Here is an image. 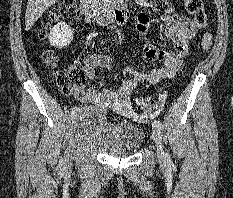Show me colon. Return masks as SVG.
<instances>
[{
    "mask_svg": "<svg viewBox=\"0 0 233 198\" xmlns=\"http://www.w3.org/2000/svg\"><path fill=\"white\" fill-rule=\"evenodd\" d=\"M74 0H62L58 8L51 11L48 21L44 24L41 37L45 36L47 26L58 17L67 12L73 6ZM186 8L193 15L194 23L199 27H204L206 23V14L204 11L203 0H185ZM212 45V35L208 32L204 33L200 41V48L207 53ZM44 61L49 67L55 64V57L50 50H46L43 54ZM85 82V72L82 64H75L69 69L61 70L56 75V83L58 87L65 93L71 92L75 87L82 86ZM162 106V100L158 98L146 97L136 101V107L139 111L147 114L156 112Z\"/></svg>",
    "mask_w": 233,
    "mask_h": 198,
    "instance_id": "5ec220e1",
    "label": "colon"
}]
</instances>
